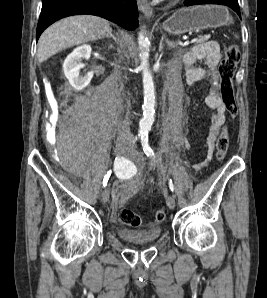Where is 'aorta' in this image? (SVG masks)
Masks as SVG:
<instances>
[{"label":"aorta","mask_w":267,"mask_h":298,"mask_svg":"<svg viewBox=\"0 0 267 298\" xmlns=\"http://www.w3.org/2000/svg\"><path fill=\"white\" fill-rule=\"evenodd\" d=\"M148 38L146 32L141 31L138 36V44L141 49L140 53V69L143 75V88H144V104H143V118L140 120V134L148 133L154 122L155 114V88L152 74L149 70L148 52Z\"/></svg>","instance_id":"obj_1"}]
</instances>
